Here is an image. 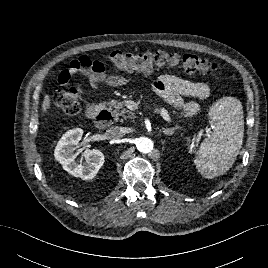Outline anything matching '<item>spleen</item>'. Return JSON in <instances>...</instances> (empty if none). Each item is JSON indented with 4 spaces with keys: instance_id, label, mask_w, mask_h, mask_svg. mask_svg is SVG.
I'll return each mask as SVG.
<instances>
[{
    "instance_id": "spleen-1",
    "label": "spleen",
    "mask_w": 268,
    "mask_h": 268,
    "mask_svg": "<svg viewBox=\"0 0 268 268\" xmlns=\"http://www.w3.org/2000/svg\"><path fill=\"white\" fill-rule=\"evenodd\" d=\"M213 129L200 145L194 164L205 178L225 174L234 164L244 137L241 102L235 97L217 100L209 110Z\"/></svg>"
}]
</instances>
